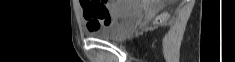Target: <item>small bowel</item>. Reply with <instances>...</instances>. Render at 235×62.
<instances>
[{
  "mask_svg": "<svg viewBox=\"0 0 235 62\" xmlns=\"http://www.w3.org/2000/svg\"><path fill=\"white\" fill-rule=\"evenodd\" d=\"M124 2H119L117 4H113L112 2H108V7L111 9V10H114V11H117L119 9H121L123 6H124ZM82 7H83V10H84V17L86 19V22H87V28L89 31L91 30H95L97 28H99L100 26L104 25L106 23L105 22H98L95 20L94 17H87L86 14H85V8H84V5L82 3ZM111 17V15H110Z\"/></svg>",
  "mask_w": 235,
  "mask_h": 62,
  "instance_id": "obj_1",
  "label": "small bowel"
}]
</instances>
